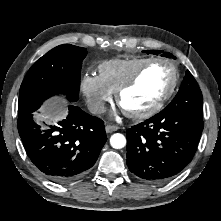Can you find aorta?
<instances>
[{"mask_svg":"<svg viewBox=\"0 0 221 221\" xmlns=\"http://www.w3.org/2000/svg\"><path fill=\"white\" fill-rule=\"evenodd\" d=\"M110 144L115 149H121L126 145V138L120 133H115L110 138Z\"/></svg>","mask_w":221,"mask_h":221,"instance_id":"1","label":"aorta"}]
</instances>
